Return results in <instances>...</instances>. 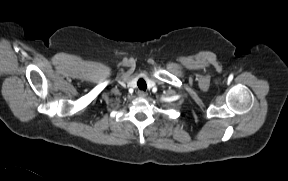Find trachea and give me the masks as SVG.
Returning <instances> with one entry per match:
<instances>
[{"instance_id":"1","label":"trachea","mask_w":288,"mask_h":181,"mask_svg":"<svg viewBox=\"0 0 288 181\" xmlns=\"http://www.w3.org/2000/svg\"><path fill=\"white\" fill-rule=\"evenodd\" d=\"M137 85H138V88H139L140 90H143V91H145L146 88H147L146 82H145V80H144L143 78H140V79L138 80Z\"/></svg>"}]
</instances>
